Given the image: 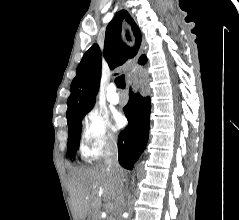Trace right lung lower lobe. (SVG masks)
Listing matches in <instances>:
<instances>
[{"mask_svg": "<svg viewBox=\"0 0 239 220\" xmlns=\"http://www.w3.org/2000/svg\"><path fill=\"white\" fill-rule=\"evenodd\" d=\"M128 126L118 136L119 163L131 170L144 151L150 128V97H142L130 91L124 107Z\"/></svg>", "mask_w": 239, "mask_h": 220, "instance_id": "obj_1", "label": "right lung lower lobe"}]
</instances>
